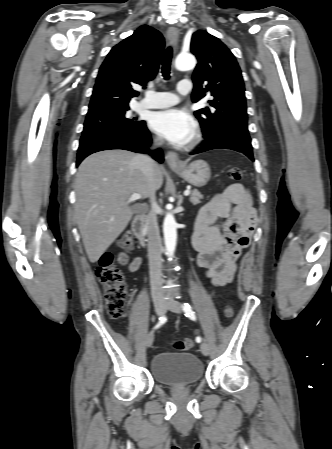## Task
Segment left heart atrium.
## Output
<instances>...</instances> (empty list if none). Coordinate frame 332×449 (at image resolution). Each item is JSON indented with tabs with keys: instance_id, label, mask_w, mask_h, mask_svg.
Here are the masks:
<instances>
[{
	"instance_id": "left-heart-atrium-1",
	"label": "left heart atrium",
	"mask_w": 332,
	"mask_h": 449,
	"mask_svg": "<svg viewBox=\"0 0 332 449\" xmlns=\"http://www.w3.org/2000/svg\"><path fill=\"white\" fill-rule=\"evenodd\" d=\"M150 126L157 134L178 145L190 141L195 131L193 119L186 112L178 109L154 113Z\"/></svg>"
}]
</instances>
